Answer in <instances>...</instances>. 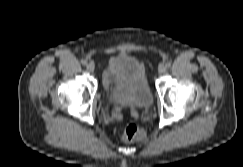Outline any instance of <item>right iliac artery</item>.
<instances>
[{
  "instance_id": "82829eb1",
  "label": "right iliac artery",
  "mask_w": 243,
  "mask_h": 167,
  "mask_svg": "<svg viewBox=\"0 0 243 167\" xmlns=\"http://www.w3.org/2000/svg\"><path fill=\"white\" fill-rule=\"evenodd\" d=\"M81 63H82L83 65H87V60L83 59V60L81 61Z\"/></svg>"
}]
</instances>
